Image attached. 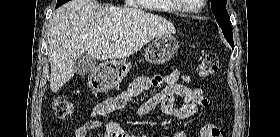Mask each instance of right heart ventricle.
<instances>
[{"label": "right heart ventricle", "instance_id": "obj_1", "mask_svg": "<svg viewBox=\"0 0 280 137\" xmlns=\"http://www.w3.org/2000/svg\"><path fill=\"white\" fill-rule=\"evenodd\" d=\"M165 9L167 10L166 13H169V14H175V13H177V10H176L174 7L168 6V7H165Z\"/></svg>", "mask_w": 280, "mask_h": 137}]
</instances>
